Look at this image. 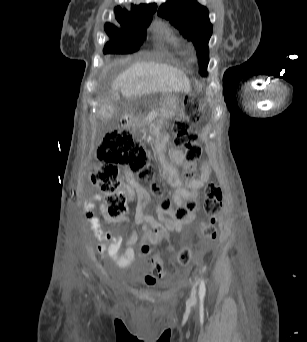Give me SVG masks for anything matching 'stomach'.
I'll use <instances>...</instances> for the list:
<instances>
[{"label": "stomach", "mask_w": 307, "mask_h": 342, "mask_svg": "<svg viewBox=\"0 0 307 342\" xmlns=\"http://www.w3.org/2000/svg\"><path fill=\"white\" fill-rule=\"evenodd\" d=\"M181 106V100L178 97H167L163 100L160 106V115L164 119L174 117Z\"/></svg>", "instance_id": "obj_1"}]
</instances>
